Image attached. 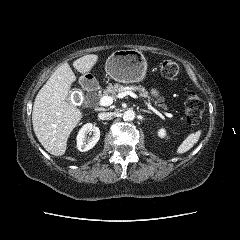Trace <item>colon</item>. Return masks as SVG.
Masks as SVG:
<instances>
[{
  "mask_svg": "<svg viewBox=\"0 0 240 240\" xmlns=\"http://www.w3.org/2000/svg\"><path fill=\"white\" fill-rule=\"evenodd\" d=\"M179 66L173 60H165L160 65V72L163 77L173 79L179 74ZM185 114L190 124L200 122L204 113V102L196 93L188 92L185 99Z\"/></svg>",
  "mask_w": 240,
  "mask_h": 240,
  "instance_id": "obj_1",
  "label": "colon"
}]
</instances>
